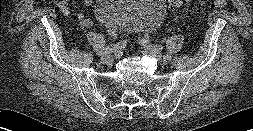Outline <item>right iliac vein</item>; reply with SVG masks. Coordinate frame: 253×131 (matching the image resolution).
<instances>
[{"instance_id": "63e3f726", "label": "right iliac vein", "mask_w": 253, "mask_h": 131, "mask_svg": "<svg viewBox=\"0 0 253 131\" xmlns=\"http://www.w3.org/2000/svg\"><path fill=\"white\" fill-rule=\"evenodd\" d=\"M101 61L103 63H110L112 61V56L111 55H103L101 57Z\"/></svg>"}]
</instances>
